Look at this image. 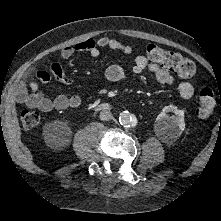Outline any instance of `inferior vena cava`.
Segmentation results:
<instances>
[{"label":"inferior vena cava","instance_id":"602c4592","mask_svg":"<svg viewBox=\"0 0 221 221\" xmlns=\"http://www.w3.org/2000/svg\"><path fill=\"white\" fill-rule=\"evenodd\" d=\"M99 117L103 121H108V120H111L113 118L112 113L108 110L101 111Z\"/></svg>","mask_w":221,"mask_h":221}]
</instances>
